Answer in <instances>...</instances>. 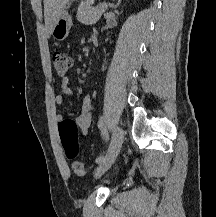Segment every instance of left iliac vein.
Returning <instances> with one entry per match:
<instances>
[{
	"label": "left iliac vein",
	"instance_id": "obj_1",
	"mask_svg": "<svg viewBox=\"0 0 216 217\" xmlns=\"http://www.w3.org/2000/svg\"><path fill=\"white\" fill-rule=\"evenodd\" d=\"M124 140V131L120 127H116L113 131L111 144L108 148L105 159L99 164L95 170V177L102 176L116 160Z\"/></svg>",
	"mask_w": 216,
	"mask_h": 217
}]
</instances>
